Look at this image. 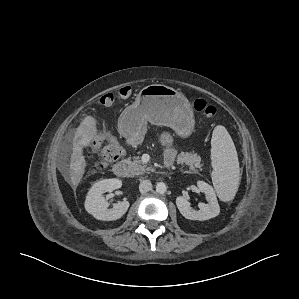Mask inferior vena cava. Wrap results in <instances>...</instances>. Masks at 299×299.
I'll list each match as a JSON object with an SVG mask.
<instances>
[{
  "label": "inferior vena cava",
  "mask_w": 299,
  "mask_h": 299,
  "mask_svg": "<svg viewBox=\"0 0 299 299\" xmlns=\"http://www.w3.org/2000/svg\"><path fill=\"white\" fill-rule=\"evenodd\" d=\"M151 188H152V183L150 180H143L139 184V191L141 193H146V192L150 191Z\"/></svg>",
  "instance_id": "obj_1"
}]
</instances>
